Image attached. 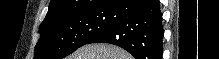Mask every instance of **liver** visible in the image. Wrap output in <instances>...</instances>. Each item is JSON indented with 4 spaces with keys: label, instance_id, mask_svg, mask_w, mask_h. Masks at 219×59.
<instances>
[{
    "label": "liver",
    "instance_id": "liver-1",
    "mask_svg": "<svg viewBox=\"0 0 219 59\" xmlns=\"http://www.w3.org/2000/svg\"><path fill=\"white\" fill-rule=\"evenodd\" d=\"M66 59H133L125 50L108 44L85 45Z\"/></svg>",
    "mask_w": 219,
    "mask_h": 59
}]
</instances>
